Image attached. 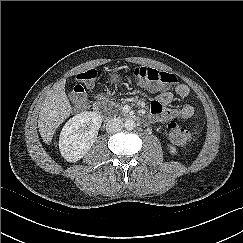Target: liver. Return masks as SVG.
<instances>
[{"mask_svg":"<svg viewBox=\"0 0 243 243\" xmlns=\"http://www.w3.org/2000/svg\"><path fill=\"white\" fill-rule=\"evenodd\" d=\"M71 114V105L65 93V83L55 84L44 99L38 118V128L43 141L49 144L56 129Z\"/></svg>","mask_w":243,"mask_h":243,"instance_id":"liver-1","label":"liver"}]
</instances>
